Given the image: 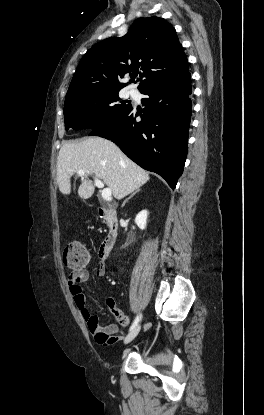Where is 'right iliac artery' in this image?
I'll list each match as a JSON object with an SVG mask.
<instances>
[{
    "label": "right iliac artery",
    "instance_id": "right-iliac-artery-1",
    "mask_svg": "<svg viewBox=\"0 0 264 415\" xmlns=\"http://www.w3.org/2000/svg\"><path fill=\"white\" fill-rule=\"evenodd\" d=\"M139 320H140V316H139V315H137V316L135 317V319H134V321H133V323H132V325H131V327H130L129 331L133 330V329L137 326V324H138Z\"/></svg>",
    "mask_w": 264,
    "mask_h": 415
}]
</instances>
